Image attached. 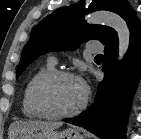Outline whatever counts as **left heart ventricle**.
<instances>
[{"mask_svg":"<svg viewBox=\"0 0 141 139\" xmlns=\"http://www.w3.org/2000/svg\"><path fill=\"white\" fill-rule=\"evenodd\" d=\"M84 95L81 83L74 78H59L46 90V100L55 112H66L80 104Z\"/></svg>","mask_w":141,"mask_h":139,"instance_id":"left-heart-ventricle-1","label":"left heart ventricle"}]
</instances>
